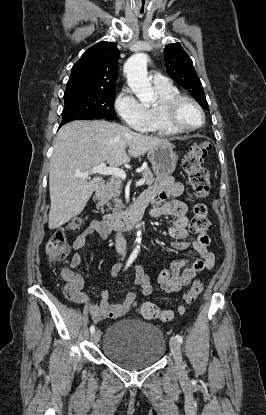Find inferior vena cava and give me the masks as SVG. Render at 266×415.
I'll return each instance as SVG.
<instances>
[{"mask_svg": "<svg viewBox=\"0 0 266 415\" xmlns=\"http://www.w3.org/2000/svg\"><path fill=\"white\" fill-rule=\"evenodd\" d=\"M115 248L119 255L125 256L126 255V249L127 244L124 236L121 232H118L115 237Z\"/></svg>", "mask_w": 266, "mask_h": 415, "instance_id": "602c4592", "label": "inferior vena cava"}]
</instances>
